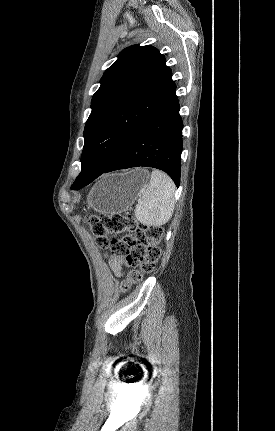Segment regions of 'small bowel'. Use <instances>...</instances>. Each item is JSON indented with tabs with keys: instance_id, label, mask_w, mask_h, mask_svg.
Listing matches in <instances>:
<instances>
[{
	"instance_id": "c3829d8e",
	"label": "small bowel",
	"mask_w": 275,
	"mask_h": 431,
	"mask_svg": "<svg viewBox=\"0 0 275 431\" xmlns=\"http://www.w3.org/2000/svg\"><path fill=\"white\" fill-rule=\"evenodd\" d=\"M110 267L117 276H121L123 273V260L118 256H112L110 259Z\"/></svg>"
}]
</instances>
